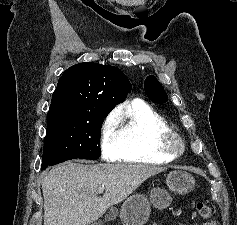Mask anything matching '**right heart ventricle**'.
<instances>
[{
  "label": "right heart ventricle",
  "instance_id": "1",
  "mask_svg": "<svg viewBox=\"0 0 237 225\" xmlns=\"http://www.w3.org/2000/svg\"><path fill=\"white\" fill-rule=\"evenodd\" d=\"M171 128L165 118L145 101L136 99L118 119V162L162 164L175 159L163 154L158 147V138Z\"/></svg>",
  "mask_w": 237,
  "mask_h": 225
}]
</instances>
